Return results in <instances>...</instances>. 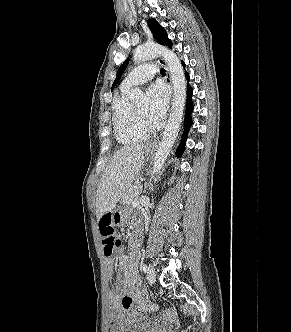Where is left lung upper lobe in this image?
Returning <instances> with one entry per match:
<instances>
[{
  "label": "left lung upper lobe",
  "mask_w": 291,
  "mask_h": 332,
  "mask_svg": "<svg viewBox=\"0 0 291 332\" xmlns=\"http://www.w3.org/2000/svg\"><path fill=\"white\" fill-rule=\"evenodd\" d=\"M151 32L153 33V36L155 40L162 45H168L170 48L172 47V42L167 38V33L163 27L159 25V23L154 19H149L147 22ZM129 63V59H126L123 64L120 66V68L117 71V76L115 81L113 82L112 89L116 86L118 81L120 80L124 70L126 69L127 65Z\"/></svg>",
  "instance_id": "left-lung-upper-lobe-1"
}]
</instances>
